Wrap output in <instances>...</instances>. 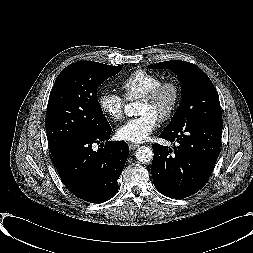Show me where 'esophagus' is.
Wrapping results in <instances>:
<instances>
[{"mask_svg":"<svg viewBox=\"0 0 253 253\" xmlns=\"http://www.w3.org/2000/svg\"><path fill=\"white\" fill-rule=\"evenodd\" d=\"M137 147H139L138 144H135V143H129V148L130 150H135Z\"/></svg>","mask_w":253,"mask_h":253,"instance_id":"esophagus-1","label":"esophagus"}]
</instances>
